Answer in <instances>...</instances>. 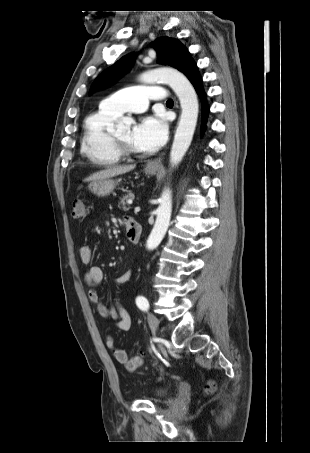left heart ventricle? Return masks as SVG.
I'll return each mask as SVG.
<instances>
[{"instance_id":"b2bd125f","label":"left heart ventricle","mask_w":310,"mask_h":453,"mask_svg":"<svg viewBox=\"0 0 310 453\" xmlns=\"http://www.w3.org/2000/svg\"><path fill=\"white\" fill-rule=\"evenodd\" d=\"M132 126H129L119 132H116L115 135L124 143L128 144L130 147H132L136 151H140L138 148H136L133 144L132 141Z\"/></svg>"}]
</instances>
